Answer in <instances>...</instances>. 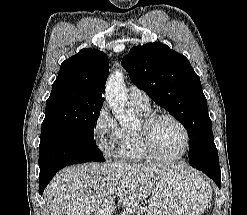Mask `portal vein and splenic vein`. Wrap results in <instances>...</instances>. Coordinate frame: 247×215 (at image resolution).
<instances>
[{
  "mask_svg": "<svg viewBox=\"0 0 247 215\" xmlns=\"http://www.w3.org/2000/svg\"><path fill=\"white\" fill-rule=\"evenodd\" d=\"M108 192H109L110 195H113L115 193V190L110 189Z\"/></svg>",
  "mask_w": 247,
  "mask_h": 215,
  "instance_id": "obj_1",
  "label": "portal vein and splenic vein"
}]
</instances>
